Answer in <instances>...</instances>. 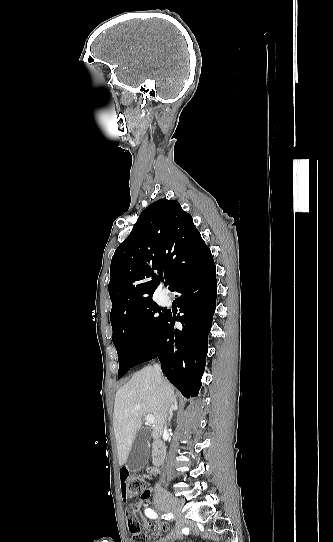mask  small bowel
<instances>
[{"label":"small bowel","mask_w":333,"mask_h":542,"mask_svg":"<svg viewBox=\"0 0 333 542\" xmlns=\"http://www.w3.org/2000/svg\"><path fill=\"white\" fill-rule=\"evenodd\" d=\"M127 473L128 472L126 468L123 467L120 469V480L122 482V492H123L124 500L126 499V496L123 490V482L124 480H127L129 478V475ZM153 493L154 491L152 488L145 489L142 498H140L137 504L133 506L135 509L132 511L130 509L132 507L131 506L127 511L128 516H131V515L136 516L138 519L142 521L145 527H150V522H149L147 514L143 513L140 510V508L146 506V501L152 497ZM161 531L163 532L169 531V533L165 538L161 539L159 542H175L185 534V528L182 527L181 525H176L174 528H170L169 525L164 522L158 524V526L155 528V533H160Z\"/></svg>","instance_id":"small-bowel-1"}]
</instances>
